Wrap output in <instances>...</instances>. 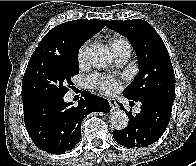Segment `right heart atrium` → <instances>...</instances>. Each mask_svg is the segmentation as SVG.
Instances as JSON below:
<instances>
[{
    "instance_id": "1",
    "label": "right heart atrium",
    "mask_w": 196,
    "mask_h": 166,
    "mask_svg": "<svg viewBox=\"0 0 196 166\" xmlns=\"http://www.w3.org/2000/svg\"><path fill=\"white\" fill-rule=\"evenodd\" d=\"M91 41L84 42L78 50V62L80 65L85 64L89 57Z\"/></svg>"
}]
</instances>
